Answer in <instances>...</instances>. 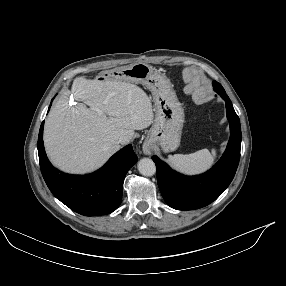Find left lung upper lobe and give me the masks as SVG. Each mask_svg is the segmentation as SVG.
<instances>
[{
    "label": "left lung upper lobe",
    "mask_w": 286,
    "mask_h": 286,
    "mask_svg": "<svg viewBox=\"0 0 286 286\" xmlns=\"http://www.w3.org/2000/svg\"><path fill=\"white\" fill-rule=\"evenodd\" d=\"M214 90L218 93L225 94V90L223 87L216 81H213Z\"/></svg>",
    "instance_id": "1"
}]
</instances>
